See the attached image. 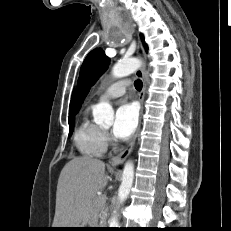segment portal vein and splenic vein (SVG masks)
Segmentation results:
<instances>
[{"instance_id":"18ae733b","label":"portal vein and splenic vein","mask_w":231,"mask_h":231,"mask_svg":"<svg viewBox=\"0 0 231 231\" xmlns=\"http://www.w3.org/2000/svg\"><path fill=\"white\" fill-rule=\"evenodd\" d=\"M99 201L102 202V203H104L105 202V198L104 197H100Z\"/></svg>"}]
</instances>
